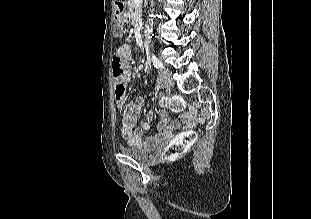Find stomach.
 Masks as SVG:
<instances>
[{
  "label": "stomach",
  "instance_id": "0dacf381",
  "mask_svg": "<svg viewBox=\"0 0 311 219\" xmlns=\"http://www.w3.org/2000/svg\"><path fill=\"white\" fill-rule=\"evenodd\" d=\"M115 20H117L118 23L123 24L126 21V16L124 14H116Z\"/></svg>",
  "mask_w": 311,
  "mask_h": 219
}]
</instances>
